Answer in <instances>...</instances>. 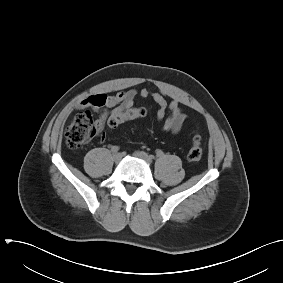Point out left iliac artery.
<instances>
[{
  "label": "left iliac artery",
  "instance_id": "1",
  "mask_svg": "<svg viewBox=\"0 0 283 283\" xmlns=\"http://www.w3.org/2000/svg\"><path fill=\"white\" fill-rule=\"evenodd\" d=\"M156 156L157 157H162L163 156V152L161 150H158ZM150 157L154 159V156L151 155Z\"/></svg>",
  "mask_w": 283,
  "mask_h": 283
}]
</instances>
